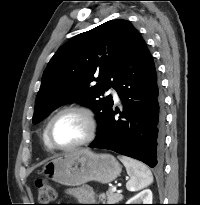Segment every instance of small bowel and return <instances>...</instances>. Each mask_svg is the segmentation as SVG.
<instances>
[{"instance_id": "1", "label": "small bowel", "mask_w": 200, "mask_h": 205, "mask_svg": "<svg viewBox=\"0 0 200 205\" xmlns=\"http://www.w3.org/2000/svg\"><path fill=\"white\" fill-rule=\"evenodd\" d=\"M69 195L74 196L77 199H81V200H87V199H91V194L90 192L84 190V189H71L68 191Z\"/></svg>"}]
</instances>
